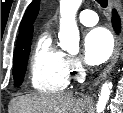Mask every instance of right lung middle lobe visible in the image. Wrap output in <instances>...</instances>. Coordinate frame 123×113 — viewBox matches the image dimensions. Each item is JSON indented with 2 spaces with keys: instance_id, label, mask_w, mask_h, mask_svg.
<instances>
[{
  "instance_id": "obj_1",
  "label": "right lung middle lobe",
  "mask_w": 123,
  "mask_h": 113,
  "mask_svg": "<svg viewBox=\"0 0 123 113\" xmlns=\"http://www.w3.org/2000/svg\"><path fill=\"white\" fill-rule=\"evenodd\" d=\"M31 39L16 47L13 57V78L16 85H21L27 67Z\"/></svg>"
}]
</instances>
